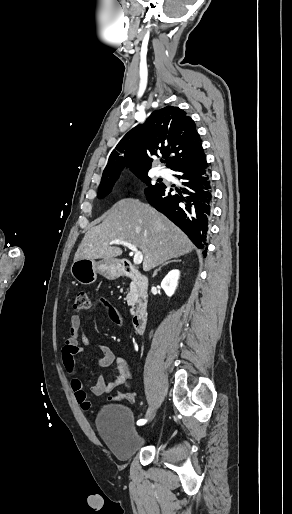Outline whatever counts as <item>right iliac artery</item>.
<instances>
[{
  "label": "right iliac artery",
  "instance_id": "obj_1",
  "mask_svg": "<svg viewBox=\"0 0 292 514\" xmlns=\"http://www.w3.org/2000/svg\"><path fill=\"white\" fill-rule=\"evenodd\" d=\"M146 422H147L146 419H140V420L137 421V424L138 425H144Z\"/></svg>",
  "mask_w": 292,
  "mask_h": 514
}]
</instances>
